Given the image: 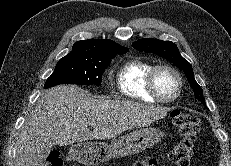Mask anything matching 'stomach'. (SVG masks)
<instances>
[{
    "label": "stomach",
    "mask_w": 231,
    "mask_h": 166,
    "mask_svg": "<svg viewBox=\"0 0 231 166\" xmlns=\"http://www.w3.org/2000/svg\"><path fill=\"white\" fill-rule=\"evenodd\" d=\"M163 132L154 127H145L130 132L110 144L98 141H80L71 145L69 157L87 166H96L112 158L140 153L159 141Z\"/></svg>",
    "instance_id": "0dacf381"
}]
</instances>
